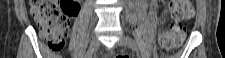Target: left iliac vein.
<instances>
[{
  "mask_svg": "<svg viewBox=\"0 0 225 58\" xmlns=\"http://www.w3.org/2000/svg\"><path fill=\"white\" fill-rule=\"evenodd\" d=\"M118 45L120 46H128L129 45V39L125 36H121L120 39L118 40Z\"/></svg>",
  "mask_w": 225,
  "mask_h": 58,
  "instance_id": "1",
  "label": "left iliac vein"
}]
</instances>
